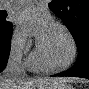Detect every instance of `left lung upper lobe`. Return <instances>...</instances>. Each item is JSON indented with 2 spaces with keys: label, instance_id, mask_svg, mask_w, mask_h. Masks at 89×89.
Masks as SVG:
<instances>
[{
  "label": "left lung upper lobe",
  "instance_id": "left-lung-upper-lobe-1",
  "mask_svg": "<svg viewBox=\"0 0 89 89\" xmlns=\"http://www.w3.org/2000/svg\"><path fill=\"white\" fill-rule=\"evenodd\" d=\"M49 7L64 22L76 44L89 33V0H53Z\"/></svg>",
  "mask_w": 89,
  "mask_h": 89
}]
</instances>
